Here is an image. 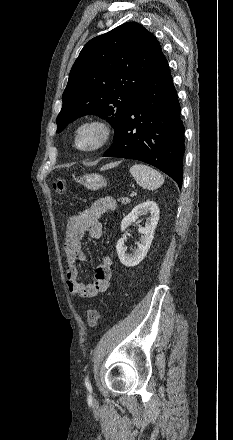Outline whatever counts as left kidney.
I'll use <instances>...</instances> for the list:
<instances>
[{
	"label": "left kidney",
	"mask_w": 233,
	"mask_h": 440,
	"mask_svg": "<svg viewBox=\"0 0 233 440\" xmlns=\"http://www.w3.org/2000/svg\"><path fill=\"white\" fill-rule=\"evenodd\" d=\"M150 213L145 226H139L138 231L141 233L140 242L137 243V249L133 254H126L125 240L121 238L116 244L117 254L123 265L126 267H133L138 265L147 255L152 240L154 238V231L159 220V207L154 201H145L138 204L121 222V231H125L132 223L136 222L138 217Z\"/></svg>",
	"instance_id": "1"
}]
</instances>
